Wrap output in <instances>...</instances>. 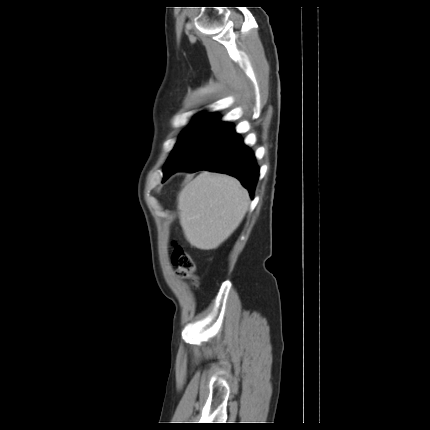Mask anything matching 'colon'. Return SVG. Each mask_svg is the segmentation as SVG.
Listing matches in <instances>:
<instances>
[{"instance_id":"5ec220e1","label":"colon","mask_w":430,"mask_h":430,"mask_svg":"<svg viewBox=\"0 0 430 430\" xmlns=\"http://www.w3.org/2000/svg\"><path fill=\"white\" fill-rule=\"evenodd\" d=\"M171 262L180 279H189L194 286H198V280L195 276V264L192 257L183 247L175 243L172 245Z\"/></svg>"}]
</instances>
